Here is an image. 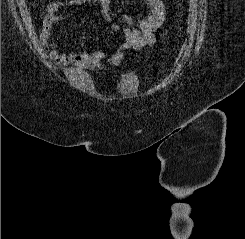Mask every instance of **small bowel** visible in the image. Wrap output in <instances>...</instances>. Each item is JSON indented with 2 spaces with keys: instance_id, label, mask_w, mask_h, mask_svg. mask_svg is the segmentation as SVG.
I'll use <instances>...</instances> for the list:
<instances>
[{
  "instance_id": "c3829d8e",
  "label": "small bowel",
  "mask_w": 245,
  "mask_h": 239,
  "mask_svg": "<svg viewBox=\"0 0 245 239\" xmlns=\"http://www.w3.org/2000/svg\"><path fill=\"white\" fill-rule=\"evenodd\" d=\"M87 2L98 3L104 16L110 21L115 20L110 12L111 0H67L64 3L54 2L48 5L43 30L50 31L53 25L60 23L63 18V15L58 12L61 6H80ZM143 2L147 8L145 16L137 21H134L129 16L119 18V21L126 25L123 28L124 41L120 49L112 54L105 63L102 61L104 52L101 50L95 52L82 50L62 54L56 50V43L51 45V50L49 51L50 59L57 65L66 66L69 70L89 69L104 71L108 67L118 66L126 50H142L146 46L153 44L155 42L154 33L164 21L165 6L161 0H143ZM119 29L120 25L114 23L112 30L118 31ZM84 44L85 40L83 38L81 45L84 46Z\"/></svg>"
}]
</instances>
